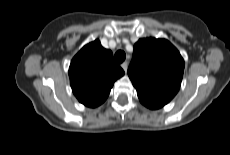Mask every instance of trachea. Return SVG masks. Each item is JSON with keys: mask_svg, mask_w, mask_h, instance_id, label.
Returning a JSON list of instances; mask_svg holds the SVG:
<instances>
[{"mask_svg": "<svg viewBox=\"0 0 230 155\" xmlns=\"http://www.w3.org/2000/svg\"><path fill=\"white\" fill-rule=\"evenodd\" d=\"M126 58V54L124 51H117L114 55V59L117 63H122Z\"/></svg>", "mask_w": 230, "mask_h": 155, "instance_id": "obj_1", "label": "trachea"}]
</instances>
